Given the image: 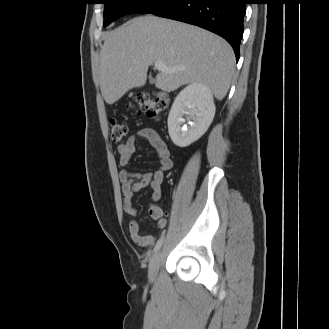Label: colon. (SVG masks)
Masks as SVG:
<instances>
[{
  "mask_svg": "<svg viewBox=\"0 0 329 329\" xmlns=\"http://www.w3.org/2000/svg\"><path fill=\"white\" fill-rule=\"evenodd\" d=\"M128 108L136 111L138 114H144L150 119H158L163 112L164 106L160 100L141 94L137 97L135 103L128 105ZM109 127L111 138L114 142H120L125 138L127 126L123 122L117 119H110Z\"/></svg>",
  "mask_w": 329,
  "mask_h": 329,
  "instance_id": "5ec220e1",
  "label": "colon"
}]
</instances>
